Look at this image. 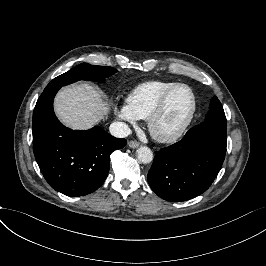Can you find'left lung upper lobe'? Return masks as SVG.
I'll return each instance as SVG.
<instances>
[{
  "label": "left lung upper lobe",
  "mask_w": 266,
  "mask_h": 266,
  "mask_svg": "<svg viewBox=\"0 0 266 266\" xmlns=\"http://www.w3.org/2000/svg\"><path fill=\"white\" fill-rule=\"evenodd\" d=\"M226 117L223 107L216 96L211 99L205 121L197 126L226 131Z\"/></svg>",
  "instance_id": "obj_1"
}]
</instances>
